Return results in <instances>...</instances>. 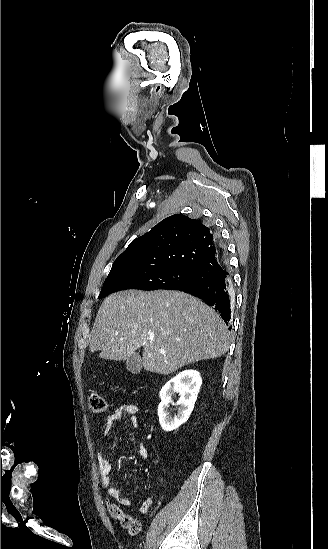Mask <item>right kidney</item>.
<instances>
[{"label":"right kidney","instance_id":"right-kidney-1","mask_svg":"<svg viewBox=\"0 0 328 549\" xmlns=\"http://www.w3.org/2000/svg\"><path fill=\"white\" fill-rule=\"evenodd\" d=\"M201 385L202 379L200 373L190 369V371H182V373H179V375L170 379V381L162 387L159 393L161 403L158 407V417L164 431H174V429H178L180 425H183V423L189 419L194 409ZM174 393H179L180 395L177 405H182V411L177 417L170 419V417H168V407L169 403H172L171 397Z\"/></svg>","mask_w":328,"mask_h":549}]
</instances>
